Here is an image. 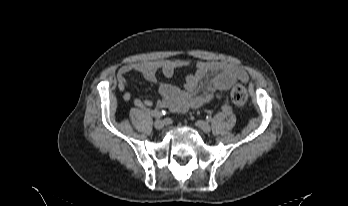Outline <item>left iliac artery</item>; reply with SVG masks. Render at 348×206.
I'll return each instance as SVG.
<instances>
[{
	"mask_svg": "<svg viewBox=\"0 0 348 206\" xmlns=\"http://www.w3.org/2000/svg\"><path fill=\"white\" fill-rule=\"evenodd\" d=\"M223 111L229 113L231 111L230 105L223 106Z\"/></svg>",
	"mask_w": 348,
	"mask_h": 206,
	"instance_id": "obj_1",
	"label": "left iliac artery"
}]
</instances>
